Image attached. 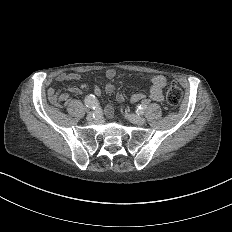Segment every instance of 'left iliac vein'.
I'll return each instance as SVG.
<instances>
[{
    "instance_id": "4c4485c4",
    "label": "left iliac vein",
    "mask_w": 232,
    "mask_h": 232,
    "mask_svg": "<svg viewBox=\"0 0 232 232\" xmlns=\"http://www.w3.org/2000/svg\"><path fill=\"white\" fill-rule=\"evenodd\" d=\"M130 119V123L137 125L139 124L142 126L144 122L146 121L143 117H140L137 114H129L128 120Z\"/></svg>"
}]
</instances>
